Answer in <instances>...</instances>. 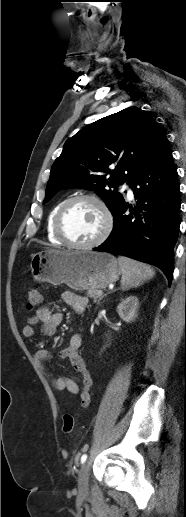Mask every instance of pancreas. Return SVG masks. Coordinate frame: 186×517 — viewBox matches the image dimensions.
<instances>
[{"mask_svg":"<svg viewBox=\"0 0 186 517\" xmlns=\"http://www.w3.org/2000/svg\"><path fill=\"white\" fill-rule=\"evenodd\" d=\"M98 289H89L86 293L87 297L89 298H93L94 299V302L96 301H100L102 296L101 295H98Z\"/></svg>","mask_w":186,"mask_h":517,"instance_id":"obj_1","label":"pancreas"}]
</instances>
